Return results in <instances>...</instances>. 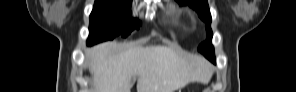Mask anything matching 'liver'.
Returning a JSON list of instances; mask_svg holds the SVG:
<instances>
[{"label": "liver", "mask_w": 296, "mask_h": 92, "mask_svg": "<svg viewBox=\"0 0 296 92\" xmlns=\"http://www.w3.org/2000/svg\"><path fill=\"white\" fill-rule=\"evenodd\" d=\"M86 56L97 92H130L136 78L137 92H174L211 76L203 57L164 45L122 49L113 41L89 49Z\"/></svg>", "instance_id": "liver-1"}]
</instances>
